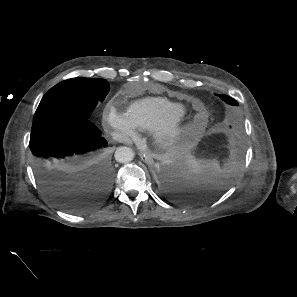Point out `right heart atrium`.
I'll return each instance as SVG.
<instances>
[{
	"mask_svg": "<svg viewBox=\"0 0 297 297\" xmlns=\"http://www.w3.org/2000/svg\"><path fill=\"white\" fill-rule=\"evenodd\" d=\"M104 119L107 127L116 139L120 141L138 139V129L130 120L127 113L119 111L113 105H109L105 109Z\"/></svg>",
	"mask_w": 297,
	"mask_h": 297,
	"instance_id": "1",
	"label": "right heart atrium"
}]
</instances>
